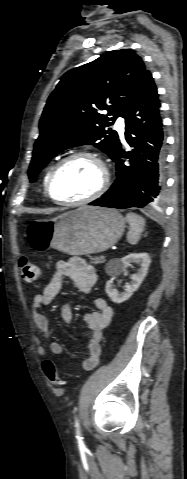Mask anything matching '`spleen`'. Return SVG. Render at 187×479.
I'll use <instances>...</instances> for the list:
<instances>
[{"label": "spleen", "instance_id": "spleen-1", "mask_svg": "<svg viewBox=\"0 0 187 479\" xmlns=\"http://www.w3.org/2000/svg\"><path fill=\"white\" fill-rule=\"evenodd\" d=\"M126 220L130 225V230L127 233V241L135 245L140 240L141 234L145 227V219L135 213H127Z\"/></svg>", "mask_w": 187, "mask_h": 479}]
</instances>
